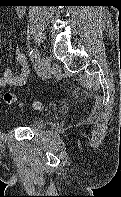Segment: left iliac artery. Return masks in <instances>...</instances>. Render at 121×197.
I'll return each mask as SVG.
<instances>
[{"instance_id":"left-iliac-artery-1","label":"left iliac artery","mask_w":121,"mask_h":197,"mask_svg":"<svg viewBox=\"0 0 121 197\" xmlns=\"http://www.w3.org/2000/svg\"><path fill=\"white\" fill-rule=\"evenodd\" d=\"M29 57H30L31 59L37 60V59L39 58V51H38L36 48L32 49V50L29 52Z\"/></svg>"}]
</instances>
